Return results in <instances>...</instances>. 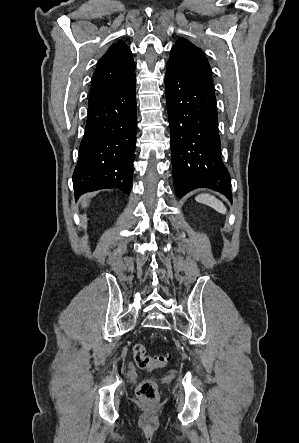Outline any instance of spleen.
<instances>
[{"label":"spleen","instance_id":"1","mask_svg":"<svg viewBox=\"0 0 299 443\" xmlns=\"http://www.w3.org/2000/svg\"><path fill=\"white\" fill-rule=\"evenodd\" d=\"M195 200L199 203L205 204L213 208L214 210H216L221 214H226L227 209L224 206V204L213 195L199 194L198 196H196Z\"/></svg>","mask_w":299,"mask_h":443}]
</instances>
